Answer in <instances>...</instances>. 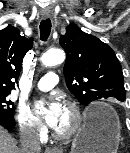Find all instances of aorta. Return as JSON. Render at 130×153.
Instances as JSON below:
<instances>
[{
	"label": "aorta",
	"mask_w": 130,
	"mask_h": 153,
	"mask_svg": "<svg viewBox=\"0 0 130 153\" xmlns=\"http://www.w3.org/2000/svg\"><path fill=\"white\" fill-rule=\"evenodd\" d=\"M65 60V53L60 49L49 50L43 54L41 57V62L44 66L53 67L58 64L63 63ZM44 102L43 101H36L35 102V109L43 111L44 110Z\"/></svg>",
	"instance_id": "1"
}]
</instances>
